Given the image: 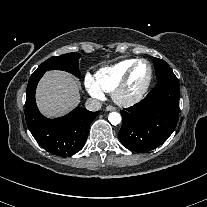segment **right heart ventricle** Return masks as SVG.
<instances>
[{
  "label": "right heart ventricle",
  "mask_w": 207,
  "mask_h": 207,
  "mask_svg": "<svg viewBox=\"0 0 207 207\" xmlns=\"http://www.w3.org/2000/svg\"><path fill=\"white\" fill-rule=\"evenodd\" d=\"M134 61L135 59H126L99 69L94 75V83L101 91H112Z\"/></svg>",
  "instance_id": "e07e8e85"
}]
</instances>
